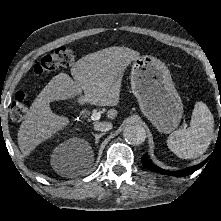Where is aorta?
<instances>
[{
  "mask_svg": "<svg viewBox=\"0 0 221 221\" xmlns=\"http://www.w3.org/2000/svg\"><path fill=\"white\" fill-rule=\"evenodd\" d=\"M124 139L132 145H139L146 139V131L140 125H128L123 131Z\"/></svg>",
  "mask_w": 221,
  "mask_h": 221,
  "instance_id": "1",
  "label": "aorta"
}]
</instances>
